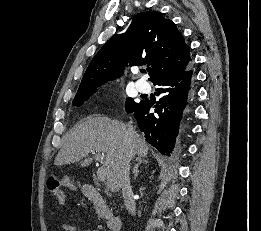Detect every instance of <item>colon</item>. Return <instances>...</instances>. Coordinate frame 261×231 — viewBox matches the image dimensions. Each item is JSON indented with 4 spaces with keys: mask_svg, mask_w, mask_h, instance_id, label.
Returning a JSON list of instances; mask_svg holds the SVG:
<instances>
[{
    "mask_svg": "<svg viewBox=\"0 0 261 231\" xmlns=\"http://www.w3.org/2000/svg\"><path fill=\"white\" fill-rule=\"evenodd\" d=\"M50 191L58 198L61 199L62 191L58 184H54L53 187L50 188Z\"/></svg>",
    "mask_w": 261,
    "mask_h": 231,
    "instance_id": "1",
    "label": "colon"
}]
</instances>
